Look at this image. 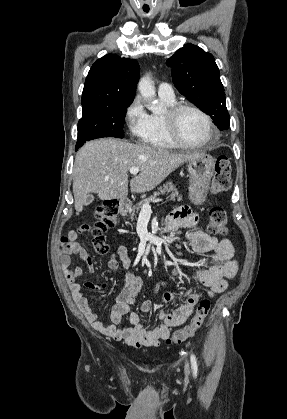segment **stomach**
Returning <instances> with one entry per match:
<instances>
[{
    "instance_id": "1",
    "label": "stomach",
    "mask_w": 287,
    "mask_h": 419,
    "mask_svg": "<svg viewBox=\"0 0 287 419\" xmlns=\"http://www.w3.org/2000/svg\"><path fill=\"white\" fill-rule=\"evenodd\" d=\"M214 170L215 160L210 155L201 154L188 161L189 192L195 204H201L206 199Z\"/></svg>"
}]
</instances>
